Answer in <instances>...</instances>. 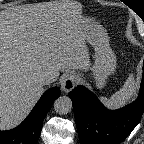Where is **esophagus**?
Instances as JSON below:
<instances>
[{"mask_svg":"<svg viewBox=\"0 0 144 144\" xmlns=\"http://www.w3.org/2000/svg\"><path fill=\"white\" fill-rule=\"evenodd\" d=\"M78 80L75 73L66 74L61 81V89L66 93L70 92L76 87Z\"/></svg>","mask_w":144,"mask_h":144,"instance_id":"esophagus-1","label":"esophagus"}]
</instances>
